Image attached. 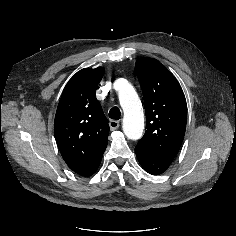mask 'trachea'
Returning <instances> with one entry per match:
<instances>
[{
  "instance_id": "trachea-1",
  "label": "trachea",
  "mask_w": 236,
  "mask_h": 236,
  "mask_svg": "<svg viewBox=\"0 0 236 236\" xmlns=\"http://www.w3.org/2000/svg\"><path fill=\"white\" fill-rule=\"evenodd\" d=\"M121 116L120 109L118 107H112L109 111V117L114 120H119Z\"/></svg>"
}]
</instances>
